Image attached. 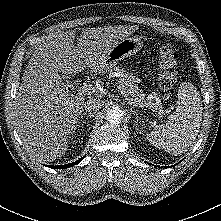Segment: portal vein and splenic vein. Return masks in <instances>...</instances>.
Segmentation results:
<instances>
[{
  "instance_id": "portal-vein-and-splenic-vein-1",
  "label": "portal vein and splenic vein",
  "mask_w": 221,
  "mask_h": 221,
  "mask_svg": "<svg viewBox=\"0 0 221 221\" xmlns=\"http://www.w3.org/2000/svg\"><path fill=\"white\" fill-rule=\"evenodd\" d=\"M119 90L121 91V93H125V90L123 88L122 85H119ZM97 91L96 87L93 86V85H88V84H84L83 86H81L80 88H78V93L80 94H92V93H95ZM134 104V106H139V107H146V108H150L151 107V104L150 102H137V101H133L131 102Z\"/></svg>"
}]
</instances>
